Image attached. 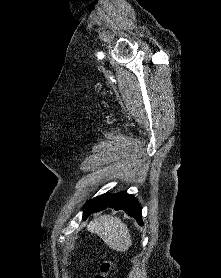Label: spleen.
<instances>
[{
	"label": "spleen",
	"mask_w": 221,
	"mask_h": 278,
	"mask_svg": "<svg viewBox=\"0 0 221 278\" xmlns=\"http://www.w3.org/2000/svg\"><path fill=\"white\" fill-rule=\"evenodd\" d=\"M87 229L115 251L124 252L132 245L128 227L117 217L102 215L91 221Z\"/></svg>",
	"instance_id": "spleen-1"
}]
</instances>
